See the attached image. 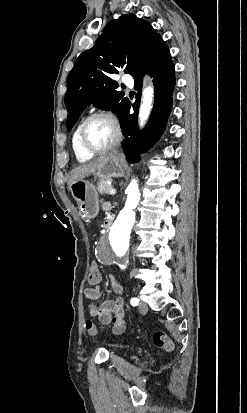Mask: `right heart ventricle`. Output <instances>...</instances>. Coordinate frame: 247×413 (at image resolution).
<instances>
[{"instance_id": "e07e8e85", "label": "right heart ventricle", "mask_w": 247, "mask_h": 413, "mask_svg": "<svg viewBox=\"0 0 247 413\" xmlns=\"http://www.w3.org/2000/svg\"><path fill=\"white\" fill-rule=\"evenodd\" d=\"M79 128H80V126L75 130V132H74V134H73V137H72V146H73V149H74V153H75L76 159H77L79 162H81V163H85V162L91 160V159L94 157V155H93V154L85 153V152L80 148L79 143H78V131H79Z\"/></svg>"}]
</instances>
